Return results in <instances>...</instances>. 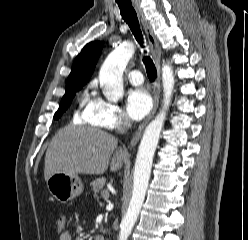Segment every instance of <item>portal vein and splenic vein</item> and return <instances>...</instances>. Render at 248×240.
<instances>
[{
	"mask_svg": "<svg viewBox=\"0 0 248 240\" xmlns=\"http://www.w3.org/2000/svg\"><path fill=\"white\" fill-rule=\"evenodd\" d=\"M101 194H102L103 198H108L109 197V193L106 190H104Z\"/></svg>",
	"mask_w": 248,
	"mask_h": 240,
	"instance_id": "obj_1",
	"label": "portal vein and splenic vein"
}]
</instances>
